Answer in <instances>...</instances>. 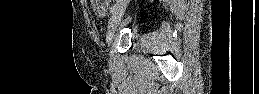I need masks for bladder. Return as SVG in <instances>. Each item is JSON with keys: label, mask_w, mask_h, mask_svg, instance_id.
<instances>
[{"label": "bladder", "mask_w": 259, "mask_h": 94, "mask_svg": "<svg viewBox=\"0 0 259 94\" xmlns=\"http://www.w3.org/2000/svg\"><path fill=\"white\" fill-rule=\"evenodd\" d=\"M98 11V13H99V15H102L103 13H102V9H100V10H97Z\"/></svg>", "instance_id": "bladder-1"}]
</instances>
